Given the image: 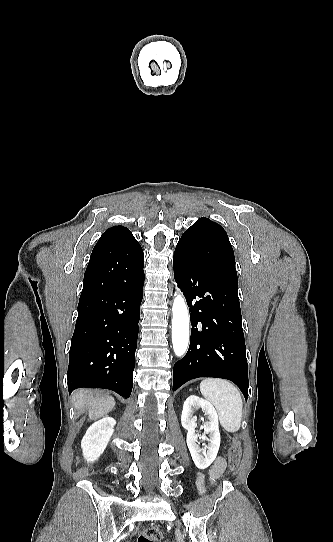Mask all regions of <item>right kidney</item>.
I'll list each match as a JSON object with an SVG mask.
<instances>
[{
    "mask_svg": "<svg viewBox=\"0 0 333 542\" xmlns=\"http://www.w3.org/2000/svg\"><path fill=\"white\" fill-rule=\"evenodd\" d=\"M116 424L114 418H102L88 428L82 438L81 448L86 462H95L103 454Z\"/></svg>",
    "mask_w": 333,
    "mask_h": 542,
    "instance_id": "obj_1",
    "label": "right kidney"
}]
</instances>
